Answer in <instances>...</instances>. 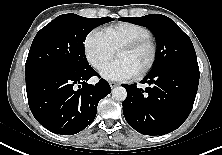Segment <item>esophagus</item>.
Masks as SVG:
<instances>
[{
  "label": "esophagus",
  "instance_id": "34e87169",
  "mask_svg": "<svg viewBox=\"0 0 222 155\" xmlns=\"http://www.w3.org/2000/svg\"><path fill=\"white\" fill-rule=\"evenodd\" d=\"M109 85H110L111 88H115V87L118 86L119 84L116 83V82H110Z\"/></svg>",
  "mask_w": 222,
  "mask_h": 155
}]
</instances>
